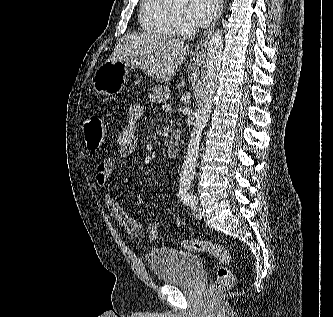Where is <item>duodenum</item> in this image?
<instances>
[{"instance_id": "duodenum-1", "label": "duodenum", "mask_w": 333, "mask_h": 317, "mask_svg": "<svg viewBox=\"0 0 333 317\" xmlns=\"http://www.w3.org/2000/svg\"><path fill=\"white\" fill-rule=\"evenodd\" d=\"M181 132L174 130L166 145V152L169 158H176L180 152Z\"/></svg>"}]
</instances>
